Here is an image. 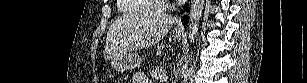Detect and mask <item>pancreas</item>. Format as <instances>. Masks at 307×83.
<instances>
[{
    "instance_id": "pancreas-1",
    "label": "pancreas",
    "mask_w": 307,
    "mask_h": 83,
    "mask_svg": "<svg viewBox=\"0 0 307 83\" xmlns=\"http://www.w3.org/2000/svg\"><path fill=\"white\" fill-rule=\"evenodd\" d=\"M150 75H151L153 78L158 79V78H160V76L163 75V70H162V68L155 67V68H153V69L151 70Z\"/></svg>"
}]
</instances>
